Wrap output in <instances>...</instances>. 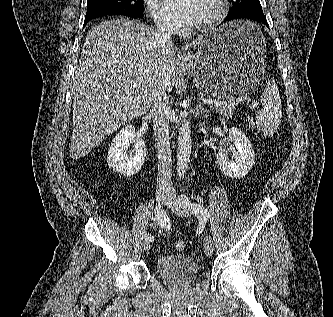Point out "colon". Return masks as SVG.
<instances>
[{"instance_id":"1","label":"colon","mask_w":333,"mask_h":317,"mask_svg":"<svg viewBox=\"0 0 333 317\" xmlns=\"http://www.w3.org/2000/svg\"><path fill=\"white\" fill-rule=\"evenodd\" d=\"M250 123L252 124L253 127L258 129L260 132H262L264 135L269 136L270 133L264 130L259 124H257L254 120L249 119ZM185 248V243L182 240H178L175 242V249L177 251H183Z\"/></svg>"}]
</instances>
